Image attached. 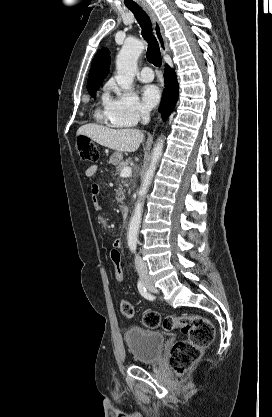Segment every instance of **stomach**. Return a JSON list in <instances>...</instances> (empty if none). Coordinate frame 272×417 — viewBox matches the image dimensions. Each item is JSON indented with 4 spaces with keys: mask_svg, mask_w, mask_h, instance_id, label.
<instances>
[{
    "mask_svg": "<svg viewBox=\"0 0 272 417\" xmlns=\"http://www.w3.org/2000/svg\"><path fill=\"white\" fill-rule=\"evenodd\" d=\"M123 154L120 151H115L110 157V163L118 165L122 162Z\"/></svg>",
    "mask_w": 272,
    "mask_h": 417,
    "instance_id": "0dacf381",
    "label": "stomach"
}]
</instances>
